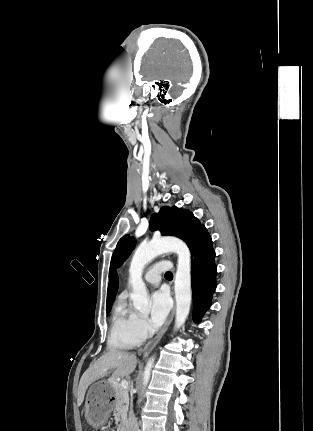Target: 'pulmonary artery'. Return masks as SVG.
<instances>
[{"instance_id":"e3ab8cb5","label":"pulmonary artery","mask_w":313,"mask_h":431,"mask_svg":"<svg viewBox=\"0 0 313 431\" xmlns=\"http://www.w3.org/2000/svg\"><path fill=\"white\" fill-rule=\"evenodd\" d=\"M170 268V263L160 261L151 266L145 273L144 280L149 285H158L161 280V273Z\"/></svg>"}]
</instances>
